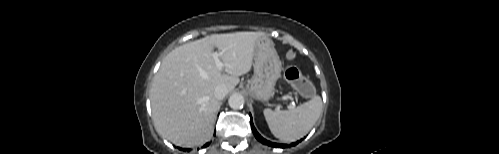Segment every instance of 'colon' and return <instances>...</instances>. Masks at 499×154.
I'll use <instances>...</instances> for the list:
<instances>
[{"mask_svg": "<svg viewBox=\"0 0 499 154\" xmlns=\"http://www.w3.org/2000/svg\"><path fill=\"white\" fill-rule=\"evenodd\" d=\"M284 74L286 79L294 85L301 95L310 97L314 94L313 84L298 67L288 64L285 67Z\"/></svg>", "mask_w": 499, "mask_h": 154, "instance_id": "1", "label": "colon"}]
</instances>
